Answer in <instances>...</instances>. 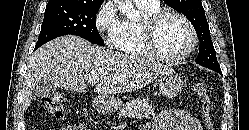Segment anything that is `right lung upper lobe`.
Wrapping results in <instances>:
<instances>
[{
	"instance_id": "1",
	"label": "right lung upper lobe",
	"mask_w": 249,
	"mask_h": 130,
	"mask_svg": "<svg viewBox=\"0 0 249 130\" xmlns=\"http://www.w3.org/2000/svg\"><path fill=\"white\" fill-rule=\"evenodd\" d=\"M63 1L79 3V4H102L104 0H49L47 5Z\"/></svg>"
}]
</instances>
